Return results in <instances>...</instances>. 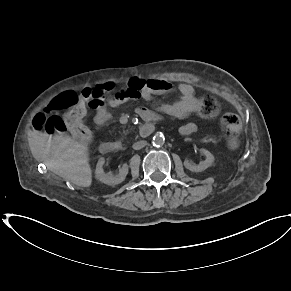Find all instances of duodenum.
<instances>
[{"label": "duodenum", "instance_id": "1", "mask_svg": "<svg viewBox=\"0 0 291 291\" xmlns=\"http://www.w3.org/2000/svg\"><path fill=\"white\" fill-rule=\"evenodd\" d=\"M147 123L140 127V134L141 136H148L154 130V122L150 120H146ZM119 146L114 142H103L100 145V151L103 154H110L118 150Z\"/></svg>", "mask_w": 291, "mask_h": 291}]
</instances>
